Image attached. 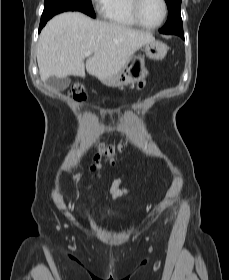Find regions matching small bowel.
<instances>
[{
	"label": "small bowel",
	"instance_id": "small-bowel-1",
	"mask_svg": "<svg viewBox=\"0 0 229 280\" xmlns=\"http://www.w3.org/2000/svg\"><path fill=\"white\" fill-rule=\"evenodd\" d=\"M138 87H140V85ZM110 192L114 197H119L126 192V189L122 186V180L121 179H116L114 181Z\"/></svg>",
	"mask_w": 229,
	"mask_h": 280
}]
</instances>
